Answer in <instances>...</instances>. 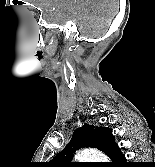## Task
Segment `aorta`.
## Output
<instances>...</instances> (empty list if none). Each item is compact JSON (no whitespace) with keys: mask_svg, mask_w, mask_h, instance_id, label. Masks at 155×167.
I'll use <instances>...</instances> for the list:
<instances>
[{"mask_svg":"<svg viewBox=\"0 0 155 167\" xmlns=\"http://www.w3.org/2000/svg\"><path fill=\"white\" fill-rule=\"evenodd\" d=\"M75 160L79 162H105L108 159L98 150L84 149L75 155Z\"/></svg>","mask_w":155,"mask_h":167,"instance_id":"1","label":"aorta"}]
</instances>
